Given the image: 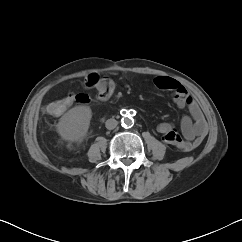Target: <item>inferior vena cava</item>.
I'll list each match as a JSON object with an SVG mask.
<instances>
[{"label":"inferior vena cava","instance_id":"inferior-vena-cava-1","mask_svg":"<svg viewBox=\"0 0 242 242\" xmlns=\"http://www.w3.org/2000/svg\"><path fill=\"white\" fill-rule=\"evenodd\" d=\"M117 125H118V121L115 120L114 118L108 119L105 123L106 128L109 130L116 128Z\"/></svg>","mask_w":242,"mask_h":242}]
</instances>
